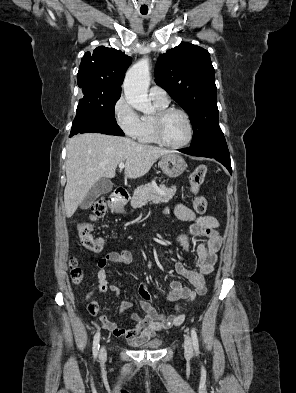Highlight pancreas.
<instances>
[{
	"label": "pancreas",
	"instance_id": "pancreas-1",
	"mask_svg": "<svg viewBox=\"0 0 296 393\" xmlns=\"http://www.w3.org/2000/svg\"><path fill=\"white\" fill-rule=\"evenodd\" d=\"M176 193V186L168 188L164 185L159 187L148 183L144 186L138 187L131 198V206L137 208L145 205L148 202L154 204H162L169 202Z\"/></svg>",
	"mask_w": 296,
	"mask_h": 393
}]
</instances>
